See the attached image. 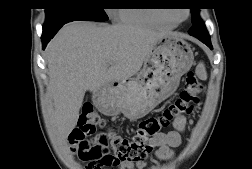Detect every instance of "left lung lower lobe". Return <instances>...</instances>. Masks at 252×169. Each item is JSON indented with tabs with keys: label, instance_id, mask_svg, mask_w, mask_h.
I'll list each match as a JSON object with an SVG mask.
<instances>
[{
	"label": "left lung lower lobe",
	"instance_id": "left-lung-lower-lobe-1",
	"mask_svg": "<svg viewBox=\"0 0 252 169\" xmlns=\"http://www.w3.org/2000/svg\"><path fill=\"white\" fill-rule=\"evenodd\" d=\"M189 34L198 38L203 43H205L209 48L213 49L207 30H198L197 32L189 31Z\"/></svg>",
	"mask_w": 252,
	"mask_h": 169
}]
</instances>
